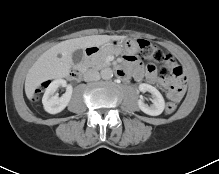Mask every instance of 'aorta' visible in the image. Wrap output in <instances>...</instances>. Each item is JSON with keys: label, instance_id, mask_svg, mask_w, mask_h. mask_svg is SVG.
<instances>
[{"label": "aorta", "instance_id": "obj_1", "mask_svg": "<svg viewBox=\"0 0 219 174\" xmlns=\"http://www.w3.org/2000/svg\"><path fill=\"white\" fill-rule=\"evenodd\" d=\"M101 77L104 80H109L113 77V71L111 68H104L101 70Z\"/></svg>", "mask_w": 219, "mask_h": 174}]
</instances>
